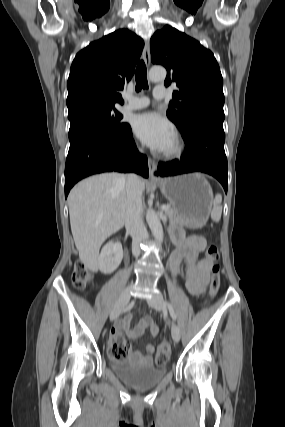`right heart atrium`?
I'll return each mask as SVG.
<instances>
[{
    "instance_id": "d8ad5b80",
    "label": "right heart atrium",
    "mask_w": 285,
    "mask_h": 427,
    "mask_svg": "<svg viewBox=\"0 0 285 427\" xmlns=\"http://www.w3.org/2000/svg\"><path fill=\"white\" fill-rule=\"evenodd\" d=\"M136 148H137L138 150H140V149H141V147H140V146H136Z\"/></svg>"
}]
</instances>
